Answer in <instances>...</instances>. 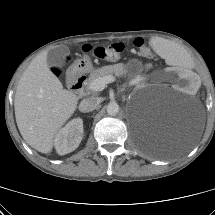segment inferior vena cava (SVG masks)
Returning <instances> with one entry per match:
<instances>
[{"mask_svg": "<svg viewBox=\"0 0 215 215\" xmlns=\"http://www.w3.org/2000/svg\"><path fill=\"white\" fill-rule=\"evenodd\" d=\"M101 99L98 97H88L81 101L79 105V109L82 112H91L97 108L100 104Z\"/></svg>", "mask_w": 215, "mask_h": 215, "instance_id": "inferior-vena-cava-1", "label": "inferior vena cava"}]
</instances>
